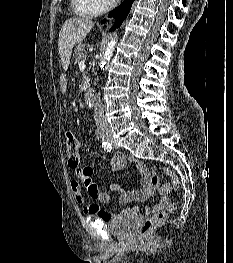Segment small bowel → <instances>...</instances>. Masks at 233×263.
<instances>
[{"mask_svg":"<svg viewBox=\"0 0 233 263\" xmlns=\"http://www.w3.org/2000/svg\"><path fill=\"white\" fill-rule=\"evenodd\" d=\"M127 163L134 165L139 174V189L135 191H125L117 185H111L109 192L101 191L95 181L92 178V168L90 166H82L76 170L77 178L83 183L84 189L90 198L97 203H107L111 198V193H119L120 201L123 203H129L132 201H144L154 194L155 188L151 182V173L144 162L133 157L127 156L122 153L115 154L110 160V167L113 173L119 172L123 169ZM71 190L78 204L83 205L85 199L82 193V186L78 181L71 183ZM172 190L170 185H164L159 192L163 197L157 201L152 208L144 206L143 212L149 213L150 211L162 210L168 203L169 199L166 196ZM97 203H92L84 207V211L93 216L100 218L101 220L108 222L112 220L116 215H112L102 209ZM131 212H136L138 208L128 209Z\"/></svg>","mask_w":233,"mask_h":263,"instance_id":"small-bowel-1","label":"small bowel"}]
</instances>
